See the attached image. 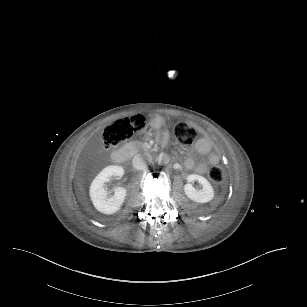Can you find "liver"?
Returning a JSON list of instances; mask_svg holds the SVG:
<instances>
[{
  "instance_id": "1",
  "label": "liver",
  "mask_w": 307,
  "mask_h": 307,
  "mask_svg": "<svg viewBox=\"0 0 307 307\" xmlns=\"http://www.w3.org/2000/svg\"><path fill=\"white\" fill-rule=\"evenodd\" d=\"M77 184H78L79 190L82 191L83 188L81 187V184L79 182ZM82 194H84V193H82Z\"/></svg>"
}]
</instances>
